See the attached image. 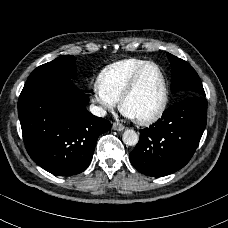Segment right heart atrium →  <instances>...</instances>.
I'll list each match as a JSON object with an SVG mask.
<instances>
[{"instance_id":"1","label":"right heart atrium","mask_w":228,"mask_h":228,"mask_svg":"<svg viewBox=\"0 0 228 228\" xmlns=\"http://www.w3.org/2000/svg\"><path fill=\"white\" fill-rule=\"evenodd\" d=\"M92 100L95 104H97L98 108L102 112H106L108 110H111L115 107L116 102L110 99L109 97L102 94L97 85L95 84L93 87V96Z\"/></svg>"}]
</instances>
